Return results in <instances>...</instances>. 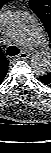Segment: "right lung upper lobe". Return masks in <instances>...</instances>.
Listing matches in <instances>:
<instances>
[{"label":"right lung upper lobe","mask_w":51,"mask_h":153,"mask_svg":"<svg viewBox=\"0 0 51 153\" xmlns=\"http://www.w3.org/2000/svg\"><path fill=\"white\" fill-rule=\"evenodd\" d=\"M7 2H9V0H0V9ZM8 68H9V61L7 60V58L4 56V54L0 50V84L4 79L8 71Z\"/></svg>","instance_id":"right-lung-upper-lobe-1"}]
</instances>
